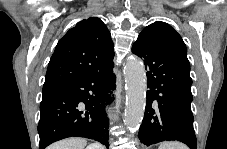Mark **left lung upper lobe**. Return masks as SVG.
<instances>
[{
    "label": "left lung upper lobe",
    "instance_id": "5c2ea615",
    "mask_svg": "<svg viewBox=\"0 0 227 149\" xmlns=\"http://www.w3.org/2000/svg\"><path fill=\"white\" fill-rule=\"evenodd\" d=\"M148 27L156 32L163 44L190 71V64L187 58V48L181 36L169 24L161 21H157Z\"/></svg>",
    "mask_w": 227,
    "mask_h": 149
}]
</instances>
